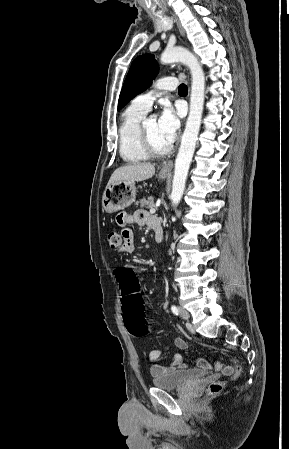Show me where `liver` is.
<instances>
[{
  "label": "liver",
  "mask_w": 289,
  "mask_h": 449,
  "mask_svg": "<svg viewBox=\"0 0 289 449\" xmlns=\"http://www.w3.org/2000/svg\"><path fill=\"white\" fill-rule=\"evenodd\" d=\"M155 174V166L151 163H135L117 168L111 175L108 185L119 181H144Z\"/></svg>",
  "instance_id": "6515ba94"
}]
</instances>
